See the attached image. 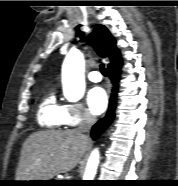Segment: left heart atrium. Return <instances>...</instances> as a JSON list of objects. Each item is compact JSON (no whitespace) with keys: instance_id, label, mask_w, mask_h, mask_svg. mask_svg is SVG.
<instances>
[{"instance_id":"left-heart-atrium-1","label":"left heart atrium","mask_w":178,"mask_h":186,"mask_svg":"<svg viewBox=\"0 0 178 186\" xmlns=\"http://www.w3.org/2000/svg\"><path fill=\"white\" fill-rule=\"evenodd\" d=\"M87 104L93 114H101L107 107V93L99 86H95L87 93Z\"/></svg>"}]
</instances>
